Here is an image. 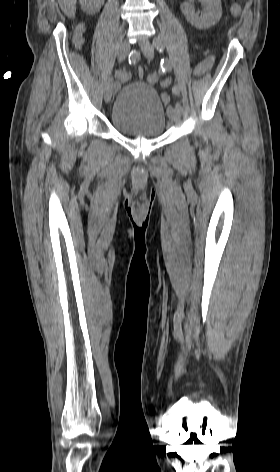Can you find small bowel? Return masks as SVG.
<instances>
[{
    "label": "small bowel",
    "mask_w": 280,
    "mask_h": 472,
    "mask_svg": "<svg viewBox=\"0 0 280 472\" xmlns=\"http://www.w3.org/2000/svg\"><path fill=\"white\" fill-rule=\"evenodd\" d=\"M85 30V26L83 24H80L77 28H76V32H75V36H74V43L76 45V47H81L82 43H83V37H82V34ZM213 58L211 56L207 57L206 59H204L203 61H201L200 63H198L195 68H194V73L195 75L197 76H201L203 74H205L206 72H208L212 65H213ZM139 75L140 76H143V69L142 68H139ZM171 83L170 79H165L162 81V86L163 87H167L169 86ZM162 99L166 102L169 101L170 97L168 94L166 93H162Z\"/></svg>",
    "instance_id": "small-bowel-1"
}]
</instances>
